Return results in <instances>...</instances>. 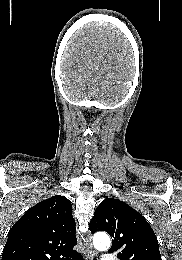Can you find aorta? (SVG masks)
I'll use <instances>...</instances> for the list:
<instances>
[{"mask_svg": "<svg viewBox=\"0 0 182 260\" xmlns=\"http://www.w3.org/2000/svg\"><path fill=\"white\" fill-rule=\"evenodd\" d=\"M94 247L99 251H105L110 247L111 241L106 233H97L93 237Z\"/></svg>", "mask_w": 182, "mask_h": 260, "instance_id": "1", "label": "aorta"}]
</instances>
